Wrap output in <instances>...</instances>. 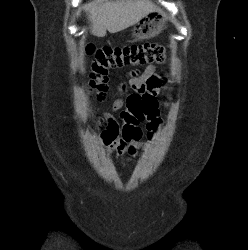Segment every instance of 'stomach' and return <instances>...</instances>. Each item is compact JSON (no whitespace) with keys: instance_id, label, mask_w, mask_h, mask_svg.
Returning a JSON list of instances; mask_svg holds the SVG:
<instances>
[{"instance_id":"obj_1","label":"stomach","mask_w":248,"mask_h":250,"mask_svg":"<svg viewBox=\"0 0 248 250\" xmlns=\"http://www.w3.org/2000/svg\"><path fill=\"white\" fill-rule=\"evenodd\" d=\"M151 14L152 12L143 17L142 21L138 22V27L134 28L139 39H151L161 31L158 24L162 21V15L156 12H153V15Z\"/></svg>"}]
</instances>
